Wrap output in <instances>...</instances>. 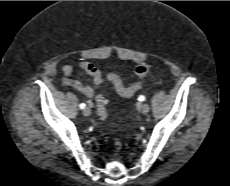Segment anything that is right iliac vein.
<instances>
[{
    "mask_svg": "<svg viewBox=\"0 0 230 186\" xmlns=\"http://www.w3.org/2000/svg\"><path fill=\"white\" fill-rule=\"evenodd\" d=\"M83 114H84L85 116H90V114H91V109H90L89 107H85V108L83 109Z\"/></svg>",
    "mask_w": 230,
    "mask_h": 186,
    "instance_id": "63e3f726",
    "label": "right iliac vein"
}]
</instances>
